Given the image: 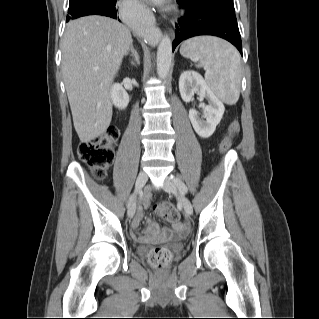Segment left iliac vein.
Instances as JSON below:
<instances>
[{
	"mask_svg": "<svg viewBox=\"0 0 319 319\" xmlns=\"http://www.w3.org/2000/svg\"><path fill=\"white\" fill-rule=\"evenodd\" d=\"M163 188L168 193L178 195L177 187H176L175 183L173 182V180L169 177L165 179V182L163 184ZM180 200H181L184 212L189 216L192 215L193 207H192V204L189 201V199L185 196H181Z\"/></svg>",
	"mask_w": 319,
	"mask_h": 319,
	"instance_id": "4c4485c4",
	"label": "left iliac vein"
}]
</instances>
